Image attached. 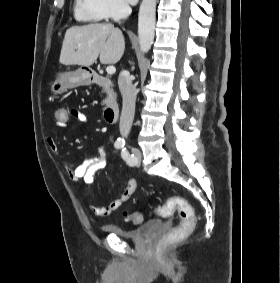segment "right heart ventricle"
<instances>
[{
	"mask_svg": "<svg viewBox=\"0 0 280 283\" xmlns=\"http://www.w3.org/2000/svg\"><path fill=\"white\" fill-rule=\"evenodd\" d=\"M74 16L78 21L96 22L101 20L93 10L92 0H75Z\"/></svg>",
	"mask_w": 280,
	"mask_h": 283,
	"instance_id": "obj_1",
	"label": "right heart ventricle"
}]
</instances>
